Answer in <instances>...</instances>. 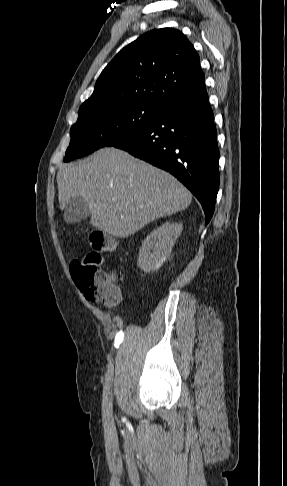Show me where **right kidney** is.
Segmentation results:
<instances>
[{"label": "right kidney", "instance_id": "right-kidney-1", "mask_svg": "<svg viewBox=\"0 0 287 486\" xmlns=\"http://www.w3.org/2000/svg\"><path fill=\"white\" fill-rule=\"evenodd\" d=\"M182 230V224L166 222L152 231L142 242L137 266L145 273L158 270L171 253Z\"/></svg>", "mask_w": 287, "mask_h": 486}]
</instances>
